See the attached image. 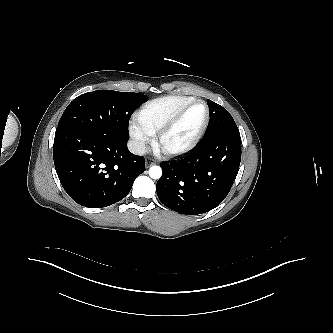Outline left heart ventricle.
<instances>
[{
    "mask_svg": "<svg viewBox=\"0 0 333 333\" xmlns=\"http://www.w3.org/2000/svg\"><path fill=\"white\" fill-rule=\"evenodd\" d=\"M206 116V109L202 104L192 106L177 124V126L164 138L163 146L177 148L186 144L198 131Z\"/></svg>",
    "mask_w": 333,
    "mask_h": 333,
    "instance_id": "1",
    "label": "left heart ventricle"
}]
</instances>
